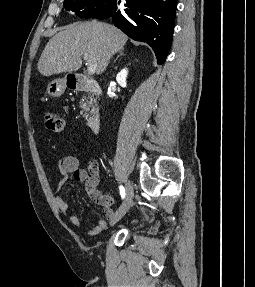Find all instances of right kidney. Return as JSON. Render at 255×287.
Returning <instances> with one entry per match:
<instances>
[{
    "mask_svg": "<svg viewBox=\"0 0 255 287\" xmlns=\"http://www.w3.org/2000/svg\"><path fill=\"white\" fill-rule=\"evenodd\" d=\"M127 70L125 68V70H121V72H119V74H117L116 76V80L118 82V84H120V86H122V88H126L127 84H126V78H127Z\"/></svg>",
    "mask_w": 255,
    "mask_h": 287,
    "instance_id": "right-kidney-1",
    "label": "right kidney"
}]
</instances>
